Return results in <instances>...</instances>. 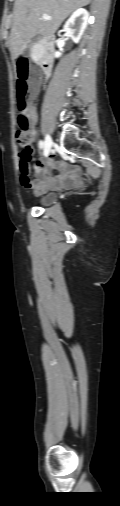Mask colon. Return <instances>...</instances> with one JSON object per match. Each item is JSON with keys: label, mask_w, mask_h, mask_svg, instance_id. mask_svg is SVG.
<instances>
[{"label": "colon", "mask_w": 120, "mask_h": 506, "mask_svg": "<svg viewBox=\"0 0 120 506\" xmlns=\"http://www.w3.org/2000/svg\"><path fill=\"white\" fill-rule=\"evenodd\" d=\"M18 63V80L16 84V93L18 98V125L20 130L16 133L15 141L20 147L19 151V167L21 173H28L29 164L32 158V119L29 111L26 96L29 92V85L27 79L31 74L29 67L30 56L21 57L17 56Z\"/></svg>", "instance_id": "5ec220e1"}]
</instances>
